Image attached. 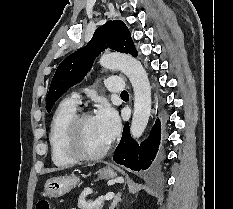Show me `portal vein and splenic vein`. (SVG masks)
<instances>
[{"label":"portal vein and splenic vein","instance_id":"18ae733b","mask_svg":"<svg viewBox=\"0 0 233 209\" xmlns=\"http://www.w3.org/2000/svg\"><path fill=\"white\" fill-rule=\"evenodd\" d=\"M114 197V194L113 193H108L106 194L104 197H101L99 199H105V200H111L112 198Z\"/></svg>","mask_w":233,"mask_h":209}]
</instances>
